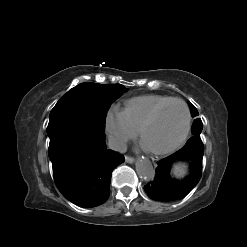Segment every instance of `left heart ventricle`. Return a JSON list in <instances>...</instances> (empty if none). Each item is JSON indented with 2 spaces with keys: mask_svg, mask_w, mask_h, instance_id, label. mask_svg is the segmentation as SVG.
Segmentation results:
<instances>
[{
  "mask_svg": "<svg viewBox=\"0 0 247 247\" xmlns=\"http://www.w3.org/2000/svg\"><path fill=\"white\" fill-rule=\"evenodd\" d=\"M186 122V113L178 102L167 105L155 122L145 131L143 144L149 149H164L181 137Z\"/></svg>",
  "mask_w": 247,
  "mask_h": 247,
  "instance_id": "left-heart-ventricle-1",
  "label": "left heart ventricle"
}]
</instances>
